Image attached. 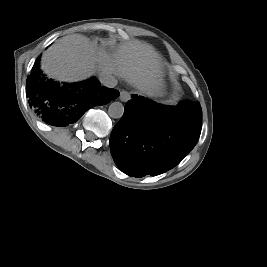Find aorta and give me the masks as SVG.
Masks as SVG:
<instances>
[{
    "instance_id": "1",
    "label": "aorta",
    "mask_w": 267,
    "mask_h": 267,
    "mask_svg": "<svg viewBox=\"0 0 267 267\" xmlns=\"http://www.w3.org/2000/svg\"><path fill=\"white\" fill-rule=\"evenodd\" d=\"M124 106L121 102H113L108 108V115L111 118L118 119L123 116Z\"/></svg>"
}]
</instances>
